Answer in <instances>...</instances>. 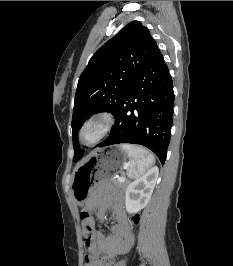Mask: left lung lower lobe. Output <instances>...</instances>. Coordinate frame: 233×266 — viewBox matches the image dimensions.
<instances>
[{
  "instance_id": "obj_1",
  "label": "left lung lower lobe",
  "mask_w": 233,
  "mask_h": 266,
  "mask_svg": "<svg viewBox=\"0 0 233 266\" xmlns=\"http://www.w3.org/2000/svg\"><path fill=\"white\" fill-rule=\"evenodd\" d=\"M172 78L157 47L115 112L110 136L98 146L132 143L146 146L165 163L171 137Z\"/></svg>"
}]
</instances>
